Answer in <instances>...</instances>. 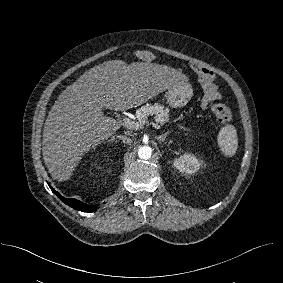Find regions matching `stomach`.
Masks as SVG:
<instances>
[{
	"instance_id": "stomach-1",
	"label": "stomach",
	"mask_w": 283,
	"mask_h": 283,
	"mask_svg": "<svg viewBox=\"0 0 283 283\" xmlns=\"http://www.w3.org/2000/svg\"><path fill=\"white\" fill-rule=\"evenodd\" d=\"M192 95L193 89L190 84L180 81L168 88L165 92V99L170 106L177 108L185 106Z\"/></svg>"
}]
</instances>
